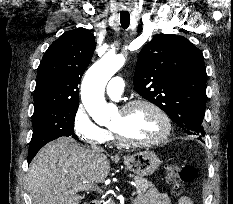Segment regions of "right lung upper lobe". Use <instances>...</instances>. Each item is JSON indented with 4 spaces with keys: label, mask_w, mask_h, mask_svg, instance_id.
<instances>
[{
    "label": "right lung upper lobe",
    "mask_w": 233,
    "mask_h": 204,
    "mask_svg": "<svg viewBox=\"0 0 233 204\" xmlns=\"http://www.w3.org/2000/svg\"><path fill=\"white\" fill-rule=\"evenodd\" d=\"M95 50L87 29L65 32L45 52L37 70L34 111L79 104L78 84Z\"/></svg>",
    "instance_id": "obj_1"
}]
</instances>
